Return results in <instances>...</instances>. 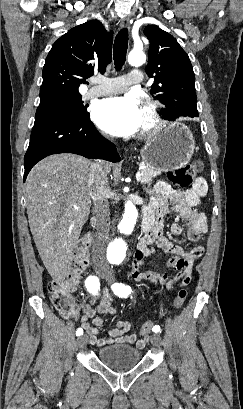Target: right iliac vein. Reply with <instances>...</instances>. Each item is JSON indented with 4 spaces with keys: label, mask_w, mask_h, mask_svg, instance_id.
<instances>
[{
    "label": "right iliac vein",
    "mask_w": 243,
    "mask_h": 409,
    "mask_svg": "<svg viewBox=\"0 0 243 409\" xmlns=\"http://www.w3.org/2000/svg\"><path fill=\"white\" fill-rule=\"evenodd\" d=\"M100 276H101V277H104L105 274H104V273H100ZM87 340H88L87 335H82V336H80V337L77 339V345H78V347H79V348H84V347L86 346V344H87Z\"/></svg>",
    "instance_id": "1"
}]
</instances>
